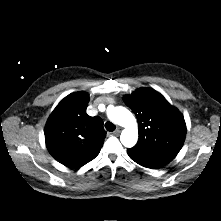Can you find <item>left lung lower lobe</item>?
Masks as SVG:
<instances>
[{
  "mask_svg": "<svg viewBox=\"0 0 221 221\" xmlns=\"http://www.w3.org/2000/svg\"><path fill=\"white\" fill-rule=\"evenodd\" d=\"M136 163L151 169H159L168 164L171 160L163 158H144V157H131Z\"/></svg>",
  "mask_w": 221,
  "mask_h": 221,
  "instance_id": "1",
  "label": "left lung lower lobe"
}]
</instances>
